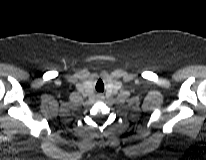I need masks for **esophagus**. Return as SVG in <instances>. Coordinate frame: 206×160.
<instances>
[{
	"label": "esophagus",
	"mask_w": 206,
	"mask_h": 160,
	"mask_svg": "<svg viewBox=\"0 0 206 160\" xmlns=\"http://www.w3.org/2000/svg\"><path fill=\"white\" fill-rule=\"evenodd\" d=\"M102 98H103V95H102V94H99V95H98V99L101 100Z\"/></svg>",
	"instance_id": "esophagus-1"
}]
</instances>
